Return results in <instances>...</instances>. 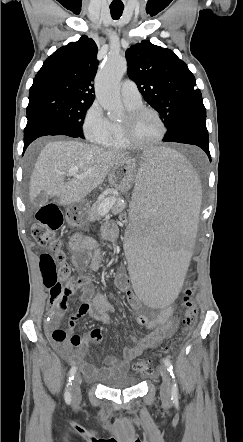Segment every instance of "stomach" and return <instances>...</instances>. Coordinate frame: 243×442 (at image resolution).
Returning a JSON list of instances; mask_svg holds the SVG:
<instances>
[{
	"label": "stomach",
	"mask_w": 243,
	"mask_h": 442,
	"mask_svg": "<svg viewBox=\"0 0 243 442\" xmlns=\"http://www.w3.org/2000/svg\"><path fill=\"white\" fill-rule=\"evenodd\" d=\"M136 162L132 158H125L113 166L108 174V181L116 190L125 193L131 188L134 176L137 175ZM87 211L82 208L81 202H76L68 207L66 221L74 227H81L87 221Z\"/></svg>",
	"instance_id": "0dacf381"
}]
</instances>
